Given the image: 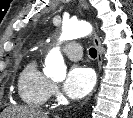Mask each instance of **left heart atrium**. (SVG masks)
Here are the masks:
<instances>
[{"label": "left heart atrium", "mask_w": 133, "mask_h": 118, "mask_svg": "<svg viewBox=\"0 0 133 118\" xmlns=\"http://www.w3.org/2000/svg\"><path fill=\"white\" fill-rule=\"evenodd\" d=\"M95 74L85 66H73L67 74L63 90L72 99H80L89 94L95 85Z\"/></svg>", "instance_id": "1"}]
</instances>
